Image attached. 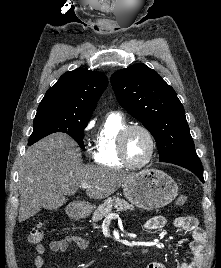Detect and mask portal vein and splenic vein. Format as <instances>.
I'll return each instance as SVG.
<instances>
[{
	"label": "portal vein and splenic vein",
	"mask_w": 221,
	"mask_h": 268,
	"mask_svg": "<svg viewBox=\"0 0 221 268\" xmlns=\"http://www.w3.org/2000/svg\"><path fill=\"white\" fill-rule=\"evenodd\" d=\"M80 187H82L83 189H86L89 187V185L87 183H82ZM106 217L109 219H112V218H118L119 215L116 213H109Z\"/></svg>",
	"instance_id": "1"
}]
</instances>
